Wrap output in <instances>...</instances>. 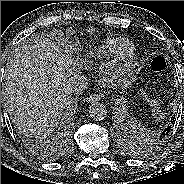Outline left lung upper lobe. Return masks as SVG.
I'll return each mask as SVG.
<instances>
[{
	"mask_svg": "<svg viewBox=\"0 0 184 184\" xmlns=\"http://www.w3.org/2000/svg\"><path fill=\"white\" fill-rule=\"evenodd\" d=\"M157 139H155L154 137H151L150 135H146V137H145V141L147 142V143H154L155 141H156ZM158 141V140H157Z\"/></svg>",
	"mask_w": 184,
	"mask_h": 184,
	"instance_id": "obj_1",
	"label": "left lung upper lobe"
}]
</instances>
